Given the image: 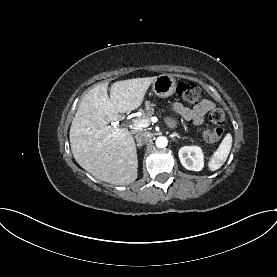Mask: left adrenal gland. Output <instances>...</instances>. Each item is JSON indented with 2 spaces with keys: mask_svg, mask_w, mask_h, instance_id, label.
Here are the masks:
<instances>
[{
  "mask_svg": "<svg viewBox=\"0 0 277 277\" xmlns=\"http://www.w3.org/2000/svg\"><path fill=\"white\" fill-rule=\"evenodd\" d=\"M170 138H174V137H177V138H180V136L177 134V133H173L169 136Z\"/></svg>",
  "mask_w": 277,
  "mask_h": 277,
  "instance_id": "1",
  "label": "left adrenal gland"
}]
</instances>
